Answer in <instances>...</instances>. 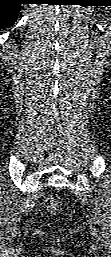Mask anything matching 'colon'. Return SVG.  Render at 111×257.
Returning <instances> with one entry per match:
<instances>
[{
    "mask_svg": "<svg viewBox=\"0 0 111 257\" xmlns=\"http://www.w3.org/2000/svg\"><path fill=\"white\" fill-rule=\"evenodd\" d=\"M44 205H45L48 209H50V210H53V211L59 210L56 201H55L54 198H52V197H47V198L44 200Z\"/></svg>",
    "mask_w": 111,
    "mask_h": 257,
    "instance_id": "5ec220e1",
    "label": "colon"
}]
</instances>
